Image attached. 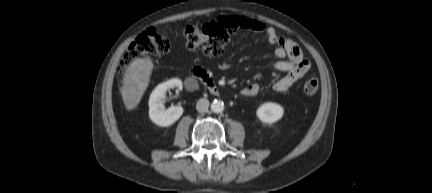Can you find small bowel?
Masks as SVG:
<instances>
[{"label": "small bowel", "mask_w": 432, "mask_h": 193, "mask_svg": "<svg viewBox=\"0 0 432 193\" xmlns=\"http://www.w3.org/2000/svg\"><path fill=\"white\" fill-rule=\"evenodd\" d=\"M219 20L234 30L251 31L267 37L268 43L273 47L277 57L274 67L286 73L273 84V89L276 92L288 91L309 71L310 62L304 57L300 47L292 40L277 33L273 27L243 16L222 17ZM217 68L221 71L227 70L231 68V63L220 61ZM260 91L261 86L259 84L250 83L241 90V94L246 97H253Z\"/></svg>", "instance_id": "small-bowel-1"}]
</instances>
